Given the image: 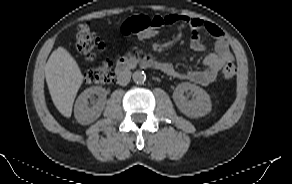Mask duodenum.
<instances>
[{"instance_id": "1", "label": "duodenum", "mask_w": 292, "mask_h": 184, "mask_svg": "<svg viewBox=\"0 0 292 184\" xmlns=\"http://www.w3.org/2000/svg\"><path fill=\"white\" fill-rule=\"evenodd\" d=\"M139 65L146 68L155 69L161 72H167L168 68L166 63L158 61L148 55L144 54H126L122 56L116 63L115 72L120 79H123L127 71L135 66Z\"/></svg>"}]
</instances>
